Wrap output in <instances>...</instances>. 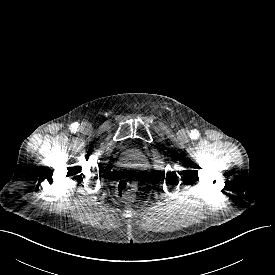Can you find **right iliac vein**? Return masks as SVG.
<instances>
[{"mask_svg":"<svg viewBox=\"0 0 275 275\" xmlns=\"http://www.w3.org/2000/svg\"><path fill=\"white\" fill-rule=\"evenodd\" d=\"M89 128H90V126H89L88 124H85V125H83V126L81 127V130H82V131H88Z\"/></svg>","mask_w":275,"mask_h":275,"instance_id":"63e3f726","label":"right iliac vein"}]
</instances>
